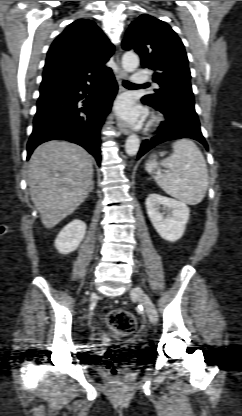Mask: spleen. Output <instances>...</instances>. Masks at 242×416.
<instances>
[{
    "mask_svg": "<svg viewBox=\"0 0 242 416\" xmlns=\"http://www.w3.org/2000/svg\"><path fill=\"white\" fill-rule=\"evenodd\" d=\"M172 148L173 154L161 162L168 169L166 173H155L158 164L154 161L146 163V171L168 195L196 205L203 200L208 188V170L203 154L188 139L175 141Z\"/></svg>",
    "mask_w": 242,
    "mask_h": 416,
    "instance_id": "1",
    "label": "spleen"
}]
</instances>
